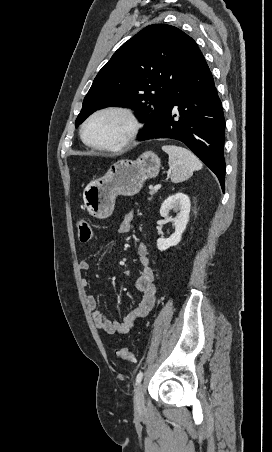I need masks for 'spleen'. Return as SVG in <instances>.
<instances>
[{"label":"spleen","mask_w":272,"mask_h":452,"mask_svg":"<svg viewBox=\"0 0 272 452\" xmlns=\"http://www.w3.org/2000/svg\"><path fill=\"white\" fill-rule=\"evenodd\" d=\"M162 150L169 156V167L172 170L171 181L180 183L189 179L194 171L202 168V162L188 149L164 145Z\"/></svg>","instance_id":"obj_1"}]
</instances>
